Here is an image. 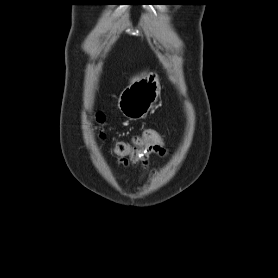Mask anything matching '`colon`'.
<instances>
[{
  "mask_svg": "<svg viewBox=\"0 0 278 278\" xmlns=\"http://www.w3.org/2000/svg\"><path fill=\"white\" fill-rule=\"evenodd\" d=\"M94 118L99 124L104 121V115L100 112L97 113ZM144 138L150 143L161 145L164 147L162 136L154 130H146L144 132ZM114 153L120 158H129L132 161H137L146 157V152L139 151L135 147L124 141L118 142L115 145Z\"/></svg>",
  "mask_w": 278,
  "mask_h": 278,
  "instance_id": "5ec220e1",
  "label": "colon"
}]
</instances>
